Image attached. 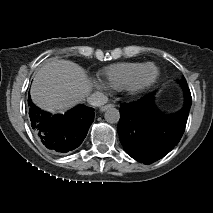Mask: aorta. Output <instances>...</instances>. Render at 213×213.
I'll list each match as a JSON object with an SVG mask.
<instances>
[{"label":"aorta","mask_w":213,"mask_h":213,"mask_svg":"<svg viewBox=\"0 0 213 213\" xmlns=\"http://www.w3.org/2000/svg\"><path fill=\"white\" fill-rule=\"evenodd\" d=\"M104 119L107 123L117 124L120 120L119 110L113 106H109L104 113Z\"/></svg>","instance_id":"aorta-1"}]
</instances>
